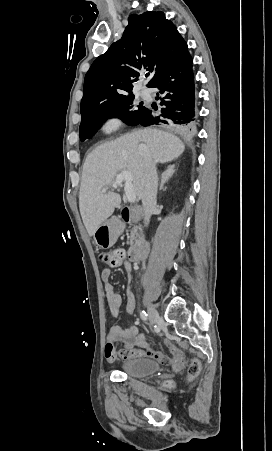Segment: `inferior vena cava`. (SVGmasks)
Segmentation results:
<instances>
[{"label":"inferior vena cava","mask_w":272,"mask_h":451,"mask_svg":"<svg viewBox=\"0 0 272 451\" xmlns=\"http://www.w3.org/2000/svg\"><path fill=\"white\" fill-rule=\"evenodd\" d=\"M143 160L145 162L146 172H145L144 192L141 200L144 208L145 224L147 226L152 216V212L153 210H155L157 202L156 196L158 188V176L156 172L155 162H153L148 152H145Z\"/></svg>","instance_id":"1"}]
</instances>
